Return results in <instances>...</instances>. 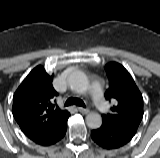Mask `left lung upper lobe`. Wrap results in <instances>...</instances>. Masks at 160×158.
Listing matches in <instances>:
<instances>
[{
  "instance_id": "obj_1",
  "label": "left lung upper lobe",
  "mask_w": 160,
  "mask_h": 158,
  "mask_svg": "<svg viewBox=\"0 0 160 158\" xmlns=\"http://www.w3.org/2000/svg\"><path fill=\"white\" fill-rule=\"evenodd\" d=\"M109 88L105 98L111 102V111L102 116L103 123L135 135L143 117V98L128 71L119 63L106 66Z\"/></svg>"
}]
</instances>
